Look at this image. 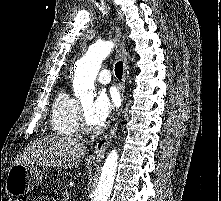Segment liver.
I'll use <instances>...</instances> for the list:
<instances>
[{
	"label": "liver",
	"mask_w": 221,
	"mask_h": 201,
	"mask_svg": "<svg viewBox=\"0 0 221 201\" xmlns=\"http://www.w3.org/2000/svg\"><path fill=\"white\" fill-rule=\"evenodd\" d=\"M88 149L76 139L49 135L36 139L19 154L14 164H36L56 168L74 167Z\"/></svg>",
	"instance_id": "6515ba94"
}]
</instances>
